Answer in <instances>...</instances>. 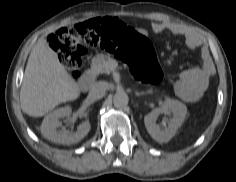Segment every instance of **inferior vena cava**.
Segmentation results:
<instances>
[{
  "label": "inferior vena cava",
  "instance_id": "obj_1",
  "mask_svg": "<svg viewBox=\"0 0 236 182\" xmlns=\"http://www.w3.org/2000/svg\"><path fill=\"white\" fill-rule=\"evenodd\" d=\"M106 89L107 87L105 82H95L89 91V96L93 99H100L105 95Z\"/></svg>",
  "mask_w": 236,
  "mask_h": 182
}]
</instances>
